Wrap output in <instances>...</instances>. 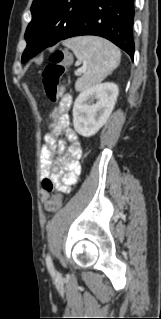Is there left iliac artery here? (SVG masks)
<instances>
[{
	"label": "left iliac artery",
	"instance_id": "1",
	"mask_svg": "<svg viewBox=\"0 0 161 319\" xmlns=\"http://www.w3.org/2000/svg\"><path fill=\"white\" fill-rule=\"evenodd\" d=\"M46 264H47L49 272L51 274H54L55 273L54 266H53V263H52V260H51V257L49 254H47V256H46Z\"/></svg>",
	"mask_w": 161,
	"mask_h": 319
}]
</instances>
